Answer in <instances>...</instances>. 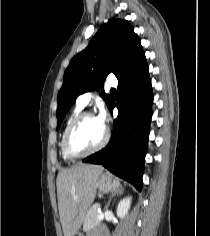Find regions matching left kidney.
<instances>
[{
    "label": "left kidney",
    "mask_w": 210,
    "mask_h": 236,
    "mask_svg": "<svg viewBox=\"0 0 210 236\" xmlns=\"http://www.w3.org/2000/svg\"><path fill=\"white\" fill-rule=\"evenodd\" d=\"M130 204H131V197H125L119 202L117 206L118 217L124 218L127 215L128 210L130 208Z\"/></svg>",
    "instance_id": "left-kidney-1"
}]
</instances>
